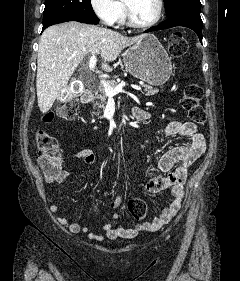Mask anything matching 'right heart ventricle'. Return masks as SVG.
<instances>
[{
	"label": "right heart ventricle",
	"instance_id": "obj_1",
	"mask_svg": "<svg viewBox=\"0 0 240 281\" xmlns=\"http://www.w3.org/2000/svg\"><path fill=\"white\" fill-rule=\"evenodd\" d=\"M120 3H121V6H122V13H121L119 21L123 22L125 20V18H126V16H125V7H124V4L122 2H120Z\"/></svg>",
	"mask_w": 240,
	"mask_h": 281
}]
</instances>
